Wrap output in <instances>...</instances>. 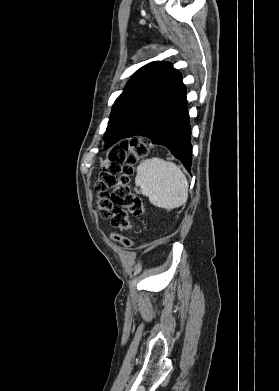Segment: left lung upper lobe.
Listing matches in <instances>:
<instances>
[{"mask_svg": "<svg viewBox=\"0 0 279 391\" xmlns=\"http://www.w3.org/2000/svg\"><path fill=\"white\" fill-rule=\"evenodd\" d=\"M185 93L182 76L170 63L156 61L141 67L113 105L105 148L137 134Z\"/></svg>", "mask_w": 279, "mask_h": 391, "instance_id": "obj_1", "label": "left lung upper lobe"}]
</instances>
